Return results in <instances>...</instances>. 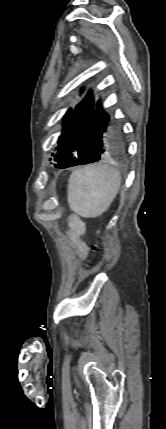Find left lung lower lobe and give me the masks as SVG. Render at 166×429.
<instances>
[{
	"mask_svg": "<svg viewBox=\"0 0 166 429\" xmlns=\"http://www.w3.org/2000/svg\"><path fill=\"white\" fill-rule=\"evenodd\" d=\"M120 146L119 129L109 124V115L100 101L95 104L88 95L71 113L57 153L53 155L54 166L64 169L93 163L109 149Z\"/></svg>",
	"mask_w": 166,
	"mask_h": 429,
	"instance_id": "left-lung-lower-lobe-1",
	"label": "left lung lower lobe"
}]
</instances>
